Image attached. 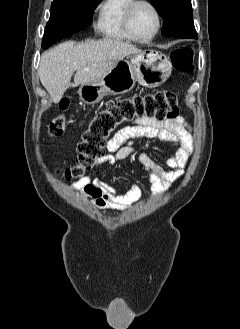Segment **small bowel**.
Instances as JSON below:
<instances>
[{"label": "small bowel", "instance_id": "obj_1", "mask_svg": "<svg viewBox=\"0 0 240 329\" xmlns=\"http://www.w3.org/2000/svg\"><path fill=\"white\" fill-rule=\"evenodd\" d=\"M137 138L165 142L172 145V154L166 167L148 153L133 146ZM192 128L186 118L170 120L142 119L121 128L107 143V153L99 158L100 164L114 165L120 160L133 158L142 167L151 183V193L159 196L173 182L182 177L192 150ZM83 197H89L99 209L126 210L138 200L141 190L133 185L126 193L119 194L97 177L87 176L69 185Z\"/></svg>", "mask_w": 240, "mask_h": 329}]
</instances>
